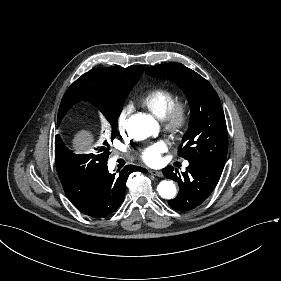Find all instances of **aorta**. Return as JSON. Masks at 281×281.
Returning <instances> with one entry per match:
<instances>
[{
	"label": "aorta",
	"instance_id": "762f6f07",
	"mask_svg": "<svg viewBox=\"0 0 281 281\" xmlns=\"http://www.w3.org/2000/svg\"><path fill=\"white\" fill-rule=\"evenodd\" d=\"M127 130L136 140H144L158 131V124L150 115L136 114L129 118ZM159 195L164 199H173L176 186L173 181H161L157 187Z\"/></svg>",
	"mask_w": 281,
	"mask_h": 281
}]
</instances>
